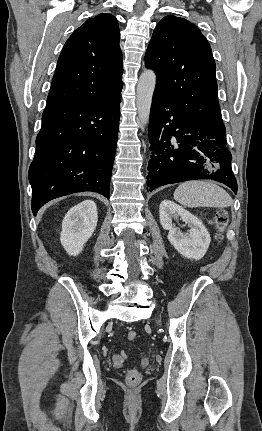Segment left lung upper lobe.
<instances>
[{
  "mask_svg": "<svg viewBox=\"0 0 262 431\" xmlns=\"http://www.w3.org/2000/svg\"><path fill=\"white\" fill-rule=\"evenodd\" d=\"M145 66L157 75L155 91L195 124L206 129L224 127L211 47L193 23L164 17L153 32Z\"/></svg>",
  "mask_w": 262,
  "mask_h": 431,
  "instance_id": "obj_1",
  "label": "left lung upper lobe"
}]
</instances>
